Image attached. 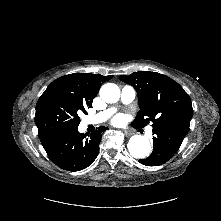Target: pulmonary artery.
I'll return each mask as SVG.
<instances>
[{
    "instance_id": "pulmonary-artery-1",
    "label": "pulmonary artery",
    "mask_w": 221,
    "mask_h": 221,
    "mask_svg": "<svg viewBox=\"0 0 221 221\" xmlns=\"http://www.w3.org/2000/svg\"><path fill=\"white\" fill-rule=\"evenodd\" d=\"M136 92L135 89L131 86H124L121 90V102L123 104L131 103L135 98ZM115 112L114 108H109L95 116L88 118V122L91 124H99L104 122L111 114ZM152 128H149L148 131L151 132Z\"/></svg>"
}]
</instances>
